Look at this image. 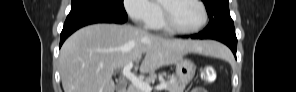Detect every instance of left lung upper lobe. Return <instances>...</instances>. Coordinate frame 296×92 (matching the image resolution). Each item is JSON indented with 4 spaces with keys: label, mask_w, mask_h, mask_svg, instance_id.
I'll return each mask as SVG.
<instances>
[{
    "label": "left lung upper lobe",
    "mask_w": 296,
    "mask_h": 92,
    "mask_svg": "<svg viewBox=\"0 0 296 92\" xmlns=\"http://www.w3.org/2000/svg\"><path fill=\"white\" fill-rule=\"evenodd\" d=\"M209 15V24L202 31L208 37L235 35L233 20L229 12L228 0H202Z\"/></svg>",
    "instance_id": "left-lung-upper-lobe-1"
}]
</instances>
